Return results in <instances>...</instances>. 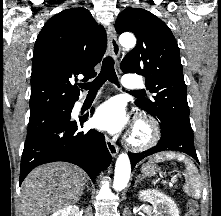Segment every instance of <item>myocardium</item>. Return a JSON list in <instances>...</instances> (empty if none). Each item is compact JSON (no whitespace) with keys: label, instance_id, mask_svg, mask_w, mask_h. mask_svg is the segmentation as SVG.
Segmentation results:
<instances>
[{"label":"myocardium","instance_id":"f54148a6","mask_svg":"<svg viewBox=\"0 0 221 216\" xmlns=\"http://www.w3.org/2000/svg\"><path fill=\"white\" fill-rule=\"evenodd\" d=\"M137 130L142 131L140 137H136ZM160 137V126L155 118L148 114H140L137 116L133 129L127 139V144L135 150H142L153 146Z\"/></svg>","mask_w":221,"mask_h":216}]
</instances>
